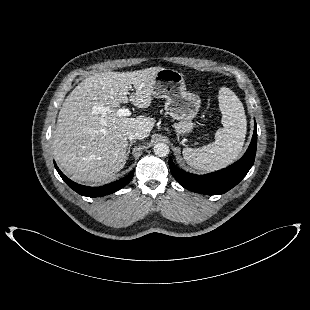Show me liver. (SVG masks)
<instances>
[{
	"label": "liver",
	"instance_id": "liver-1",
	"mask_svg": "<svg viewBox=\"0 0 310 310\" xmlns=\"http://www.w3.org/2000/svg\"><path fill=\"white\" fill-rule=\"evenodd\" d=\"M161 69L96 73L67 96L59 111L52 147L56 161L72 179L103 182L125 166L128 133L138 130L148 137L155 119L119 117L116 112L128 101L137 108L149 107L154 79ZM131 86L134 92L130 94Z\"/></svg>",
	"mask_w": 310,
	"mask_h": 310
}]
</instances>
